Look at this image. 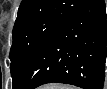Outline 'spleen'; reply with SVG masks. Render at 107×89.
<instances>
[{"instance_id": "3e777b00", "label": "spleen", "mask_w": 107, "mask_h": 89, "mask_svg": "<svg viewBox=\"0 0 107 89\" xmlns=\"http://www.w3.org/2000/svg\"><path fill=\"white\" fill-rule=\"evenodd\" d=\"M52 88H54V89H70V87H68V86H63V85H56V86H54V87H52Z\"/></svg>"}]
</instances>
